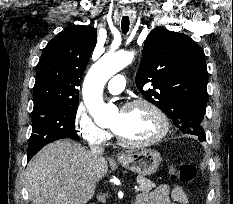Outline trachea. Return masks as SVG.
<instances>
[{
    "label": "trachea",
    "mask_w": 233,
    "mask_h": 204,
    "mask_svg": "<svg viewBox=\"0 0 233 204\" xmlns=\"http://www.w3.org/2000/svg\"><path fill=\"white\" fill-rule=\"evenodd\" d=\"M129 17L128 16H123L122 21H121V29L124 34H126L129 31Z\"/></svg>",
    "instance_id": "1"
}]
</instances>
